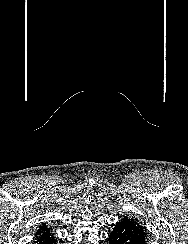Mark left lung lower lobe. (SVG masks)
Segmentation results:
<instances>
[{"label":"left lung lower lobe","mask_w":188,"mask_h":244,"mask_svg":"<svg viewBox=\"0 0 188 244\" xmlns=\"http://www.w3.org/2000/svg\"><path fill=\"white\" fill-rule=\"evenodd\" d=\"M109 244H147L144 227L124 217L109 235Z\"/></svg>","instance_id":"0a47b994"}]
</instances>
